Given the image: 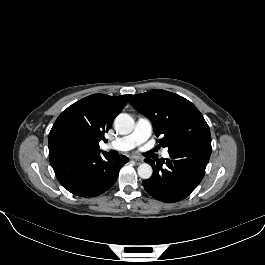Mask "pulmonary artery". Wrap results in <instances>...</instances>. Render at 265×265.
I'll return each instance as SVG.
<instances>
[{
    "mask_svg": "<svg viewBox=\"0 0 265 265\" xmlns=\"http://www.w3.org/2000/svg\"><path fill=\"white\" fill-rule=\"evenodd\" d=\"M152 132V123L147 118H139L135 128L129 135L120 137L107 144V147L118 151H128L148 140ZM163 157L168 158V152H163Z\"/></svg>",
    "mask_w": 265,
    "mask_h": 265,
    "instance_id": "1",
    "label": "pulmonary artery"
}]
</instances>
